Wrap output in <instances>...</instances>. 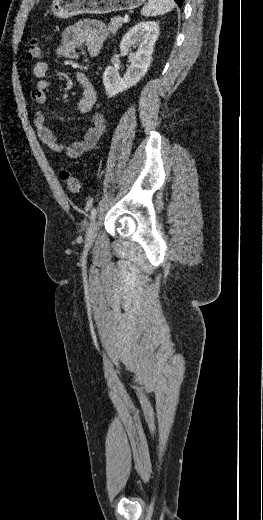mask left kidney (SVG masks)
<instances>
[{
    "instance_id": "1",
    "label": "left kidney",
    "mask_w": 263,
    "mask_h": 520,
    "mask_svg": "<svg viewBox=\"0 0 263 520\" xmlns=\"http://www.w3.org/2000/svg\"><path fill=\"white\" fill-rule=\"evenodd\" d=\"M158 35L159 25L154 21L138 23L126 33L121 41L120 51L128 55L130 66L123 78L119 76L117 68L109 66L105 69L103 84L108 97L129 89L145 76ZM132 48L136 51L132 52Z\"/></svg>"
}]
</instances>
